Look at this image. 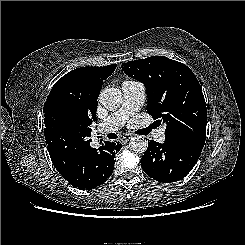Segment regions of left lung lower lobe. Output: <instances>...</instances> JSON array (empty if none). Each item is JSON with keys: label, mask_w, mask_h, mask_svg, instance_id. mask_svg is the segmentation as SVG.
Returning a JSON list of instances; mask_svg holds the SVG:
<instances>
[{"label": "left lung lower lobe", "mask_w": 245, "mask_h": 245, "mask_svg": "<svg viewBox=\"0 0 245 245\" xmlns=\"http://www.w3.org/2000/svg\"><path fill=\"white\" fill-rule=\"evenodd\" d=\"M203 146L198 143H170L166 140L160 144L151 140L141 158V166L156 181L176 182L192 170Z\"/></svg>", "instance_id": "1"}]
</instances>
